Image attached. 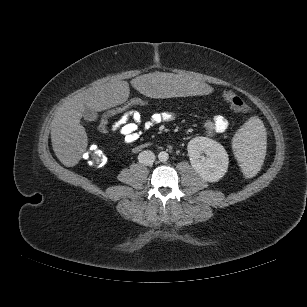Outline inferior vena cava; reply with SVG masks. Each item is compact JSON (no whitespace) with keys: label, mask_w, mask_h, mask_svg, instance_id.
<instances>
[{"label":"inferior vena cava","mask_w":307,"mask_h":307,"mask_svg":"<svg viewBox=\"0 0 307 307\" xmlns=\"http://www.w3.org/2000/svg\"><path fill=\"white\" fill-rule=\"evenodd\" d=\"M138 161L143 165H151L155 161V155L150 150H144L139 153Z\"/></svg>","instance_id":"obj_1"}]
</instances>
